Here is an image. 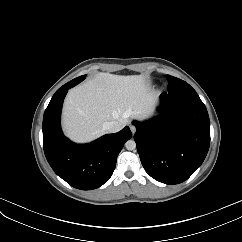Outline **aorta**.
Listing matches in <instances>:
<instances>
[{"instance_id":"obj_1","label":"aorta","mask_w":242,"mask_h":242,"mask_svg":"<svg viewBox=\"0 0 242 242\" xmlns=\"http://www.w3.org/2000/svg\"><path fill=\"white\" fill-rule=\"evenodd\" d=\"M125 147L127 150H134L136 148V143L134 140L130 139L125 143Z\"/></svg>"}]
</instances>
